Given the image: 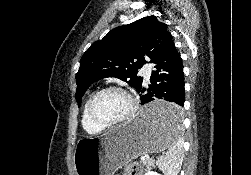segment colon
Masks as SVG:
<instances>
[{"mask_svg":"<svg viewBox=\"0 0 251 175\" xmlns=\"http://www.w3.org/2000/svg\"><path fill=\"white\" fill-rule=\"evenodd\" d=\"M142 165L137 161H131L124 166V175H142Z\"/></svg>","mask_w":251,"mask_h":175,"instance_id":"colon-1","label":"colon"}]
</instances>
